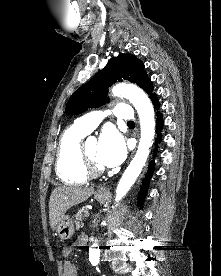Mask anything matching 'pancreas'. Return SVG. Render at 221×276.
Listing matches in <instances>:
<instances>
[{
    "label": "pancreas",
    "mask_w": 221,
    "mask_h": 276,
    "mask_svg": "<svg viewBox=\"0 0 221 276\" xmlns=\"http://www.w3.org/2000/svg\"><path fill=\"white\" fill-rule=\"evenodd\" d=\"M86 212H88V210L85 207H83L76 214V216H75L76 217V219H75L76 229H79L80 227L83 226L82 217H83V213L86 214Z\"/></svg>",
    "instance_id": "pancreas-1"
}]
</instances>
